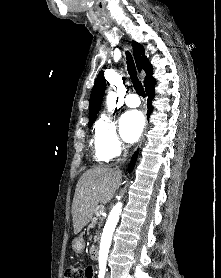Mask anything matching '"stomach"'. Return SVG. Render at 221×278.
I'll use <instances>...</instances> for the list:
<instances>
[{"label":"stomach","instance_id":"0dacf381","mask_svg":"<svg viewBox=\"0 0 221 278\" xmlns=\"http://www.w3.org/2000/svg\"><path fill=\"white\" fill-rule=\"evenodd\" d=\"M84 241L81 237H77L72 242V249L75 253H82L84 250Z\"/></svg>","mask_w":221,"mask_h":278}]
</instances>
